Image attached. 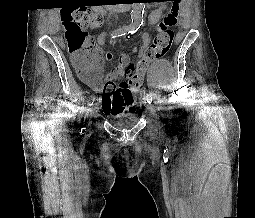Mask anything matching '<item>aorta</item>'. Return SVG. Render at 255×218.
<instances>
[{"instance_id":"762f6f07","label":"aorta","mask_w":255,"mask_h":218,"mask_svg":"<svg viewBox=\"0 0 255 218\" xmlns=\"http://www.w3.org/2000/svg\"><path fill=\"white\" fill-rule=\"evenodd\" d=\"M143 12L144 7L143 3H132V11H131V23L128 26L130 30H137L140 28L143 23Z\"/></svg>"}]
</instances>
